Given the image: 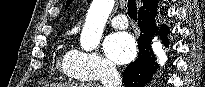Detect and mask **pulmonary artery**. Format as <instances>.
Listing matches in <instances>:
<instances>
[{
	"label": "pulmonary artery",
	"mask_w": 205,
	"mask_h": 87,
	"mask_svg": "<svg viewBox=\"0 0 205 87\" xmlns=\"http://www.w3.org/2000/svg\"><path fill=\"white\" fill-rule=\"evenodd\" d=\"M110 24L116 29H125L128 27V19L124 14H119L110 20Z\"/></svg>",
	"instance_id": "pulmonary-artery-1"
}]
</instances>
